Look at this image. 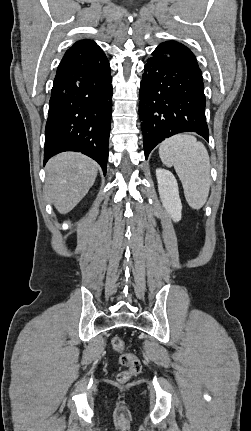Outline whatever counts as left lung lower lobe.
Here are the masks:
<instances>
[{
  "label": "left lung lower lobe",
  "instance_id": "obj_1",
  "mask_svg": "<svg viewBox=\"0 0 251 431\" xmlns=\"http://www.w3.org/2000/svg\"><path fill=\"white\" fill-rule=\"evenodd\" d=\"M139 96L146 159L158 143L177 133L196 132L208 141L202 72L183 44L166 41L153 51Z\"/></svg>",
  "mask_w": 251,
  "mask_h": 431
}]
</instances>
